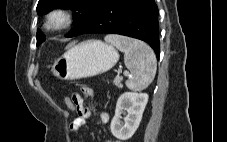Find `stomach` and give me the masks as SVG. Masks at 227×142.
Masks as SVG:
<instances>
[{"label":"stomach","mask_w":227,"mask_h":142,"mask_svg":"<svg viewBox=\"0 0 227 142\" xmlns=\"http://www.w3.org/2000/svg\"><path fill=\"white\" fill-rule=\"evenodd\" d=\"M119 60V54L109 44L88 40L70 45L52 66L54 76L61 80H76L102 74Z\"/></svg>","instance_id":"obj_1"}]
</instances>
